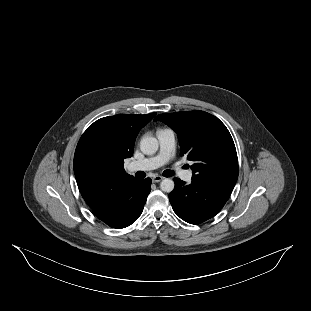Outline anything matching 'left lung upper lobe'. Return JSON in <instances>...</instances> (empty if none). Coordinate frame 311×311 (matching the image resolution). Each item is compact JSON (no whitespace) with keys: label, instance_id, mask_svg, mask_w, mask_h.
I'll return each instance as SVG.
<instances>
[{"label":"left lung upper lobe","instance_id":"left-lung-upper-lobe-1","mask_svg":"<svg viewBox=\"0 0 311 311\" xmlns=\"http://www.w3.org/2000/svg\"><path fill=\"white\" fill-rule=\"evenodd\" d=\"M178 135L181 155L193 161L192 180L234 186L238 178V159L226 126L204 111L159 114Z\"/></svg>","mask_w":311,"mask_h":311}]
</instances>
